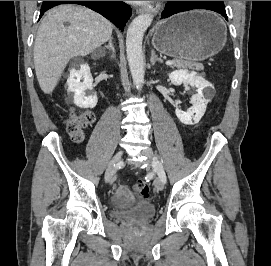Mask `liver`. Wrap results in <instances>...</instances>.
I'll return each instance as SVG.
<instances>
[{
    "instance_id": "6515ba94",
    "label": "liver",
    "mask_w": 271,
    "mask_h": 266,
    "mask_svg": "<svg viewBox=\"0 0 271 266\" xmlns=\"http://www.w3.org/2000/svg\"><path fill=\"white\" fill-rule=\"evenodd\" d=\"M112 31L110 21L88 8L67 4L47 12L34 44V66L41 90L52 93L70 59L88 55L107 42Z\"/></svg>"
}]
</instances>
